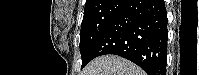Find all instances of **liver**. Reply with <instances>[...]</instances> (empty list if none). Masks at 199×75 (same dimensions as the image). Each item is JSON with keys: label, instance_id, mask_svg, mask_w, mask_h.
Segmentation results:
<instances>
[{"label": "liver", "instance_id": "1", "mask_svg": "<svg viewBox=\"0 0 199 75\" xmlns=\"http://www.w3.org/2000/svg\"><path fill=\"white\" fill-rule=\"evenodd\" d=\"M81 75H145V72L124 58L106 55L92 60Z\"/></svg>", "mask_w": 199, "mask_h": 75}]
</instances>
